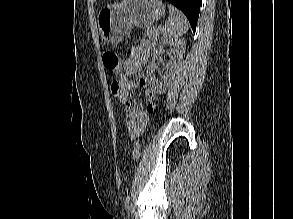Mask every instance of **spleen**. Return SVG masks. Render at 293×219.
<instances>
[{
  "label": "spleen",
  "mask_w": 293,
  "mask_h": 219,
  "mask_svg": "<svg viewBox=\"0 0 293 219\" xmlns=\"http://www.w3.org/2000/svg\"><path fill=\"white\" fill-rule=\"evenodd\" d=\"M169 19L161 28V32L165 37L178 38L188 31L187 19L183 13L172 5H168Z\"/></svg>",
  "instance_id": "obj_1"
}]
</instances>
